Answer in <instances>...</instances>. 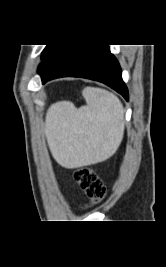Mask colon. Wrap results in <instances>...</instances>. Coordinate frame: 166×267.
<instances>
[{
	"label": "colon",
	"mask_w": 166,
	"mask_h": 267,
	"mask_svg": "<svg viewBox=\"0 0 166 267\" xmlns=\"http://www.w3.org/2000/svg\"><path fill=\"white\" fill-rule=\"evenodd\" d=\"M74 180L84 191L90 205L99 204L106 195V188L98 174L89 167H82L74 172Z\"/></svg>",
	"instance_id": "obj_1"
}]
</instances>
